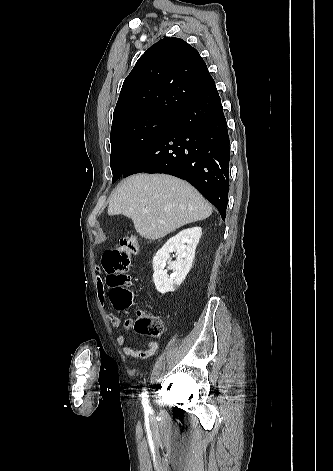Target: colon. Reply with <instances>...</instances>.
<instances>
[{"instance_id":"colon-1","label":"colon","mask_w":333,"mask_h":471,"mask_svg":"<svg viewBox=\"0 0 333 471\" xmlns=\"http://www.w3.org/2000/svg\"><path fill=\"white\" fill-rule=\"evenodd\" d=\"M138 248L137 237L132 234L122 238L118 247L106 251L102 257V265L108 274L109 297L118 310L129 308L133 302V295L129 290L132 283L129 270L131 259L138 253ZM135 329L141 334L160 338L164 333V324L160 317L139 310Z\"/></svg>"}]
</instances>
